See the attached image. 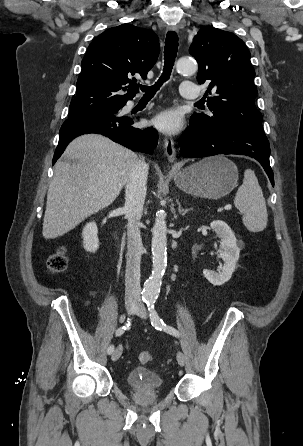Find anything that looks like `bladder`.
<instances>
[{
    "instance_id": "obj_1",
    "label": "bladder",
    "mask_w": 303,
    "mask_h": 446,
    "mask_svg": "<svg viewBox=\"0 0 303 446\" xmlns=\"http://www.w3.org/2000/svg\"><path fill=\"white\" fill-rule=\"evenodd\" d=\"M125 381L127 386L133 390H160L164 385L160 374L142 367L131 369Z\"/></svg>"
}]
</instances>
